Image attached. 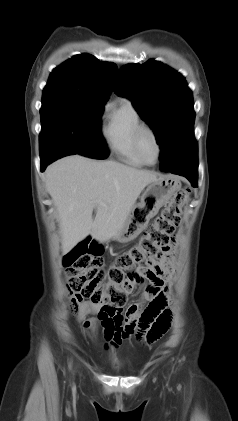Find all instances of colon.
Wrapping results in <instances>:
<instances>
[{
	"mask_svg": "<svg viewBox=\"0 0 238 421\" xmlns=\"http://www.w3.org/2000/svg\"><path fill=\"white\" fill-rule=\"evenodd\" d=\"M189 197L182 188L153 220L137 244L118 256L114 264L103 266L102 247L82 242L65 256L70 311L76 314L82 301L101 307L98 319L109 325L116 311L126 303V294L133 290L132 274L146 268L170 248L181 222V210Z\"/></svg>",
	"mask_w": 238,
	"mask_h": 421,
	"instance_id": "obj_1",
	"label": "colon"
}]
</instances>
